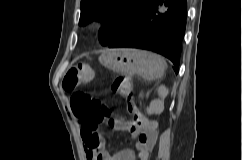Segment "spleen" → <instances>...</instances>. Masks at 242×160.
I'll return each instance as SVG.
<instances>
[{"mask_svg":"<svg viewBox=\"0 0 242 160\" xmlns=\"http://www.w3.org/2000/svg\"><path fill=\"white\" fill-rule=\"evenodd\" d=\"M156 60L160 63V73L156 77V78H158L163 74L164 69L166 67V62L159 55H156Z\"/></svg>","mask_w":242,"mask_h":160,"instance_id":"1","label":"spleen"}]
</instances>
